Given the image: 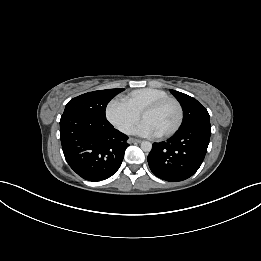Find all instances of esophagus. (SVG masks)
I'll list each match as a JSON object with an SVG mask.
<instances>
[{
    "mask_svg": "<svg viewBox=\"0 0 261 261\" xmlns=\"http://www.w3.org/2000/svg\"><path fill=\"white\" fill-rule=\"evenodd\" d=\"M130 143H141L140 139H136V138H129L128 140Z\"/></svg>",
    "mask_w": 261,
    "mask_h": 261,
    "instance_id": "1",
    "label": "esophagus"
}]
</instances>
